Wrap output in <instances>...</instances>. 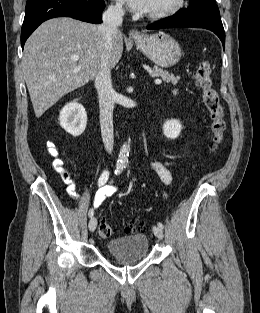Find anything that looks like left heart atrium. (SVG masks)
<instances>
[{
	"label": "left heart atrium",
	"mask_w": 260,
	"mask_h": 313,
	"mask_svg": "<svg viewBox=\"0 0 260 313\" xmlns=\"http://www.w3.org/2000/svg\"><path fill=\"white\" fill-rule=\"evenodd\" d=\"M136 12H147L150 6V0H120Z\"/></svg>",
	"instance_id": "obj_1"
}]
</instances>
